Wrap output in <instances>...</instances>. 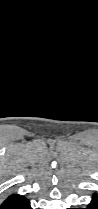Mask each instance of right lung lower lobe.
Masks as SVG:
<instances>
[{"label":"right lung lower lobe","instance_id":"right-lung-lower-lobe-1","mask_svg":"<svg viewBox=\"0 0 98 209\" xmlns=\"http://www.w3.org/2000/svg\"><path fill=\"white\" fill-rule=\"evenodd\" d=\"M1 209H32L30 202L19 194L9 195L1 204Z\"/></svg>","mask_w":98,"mask_h":209}]
</instances>
